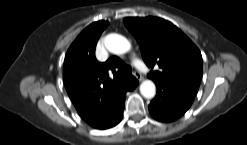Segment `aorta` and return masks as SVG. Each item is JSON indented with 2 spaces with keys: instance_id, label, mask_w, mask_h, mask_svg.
I'll list each match as a JSON object with an SVG mask.
<instances>
[{
  "instance_id": "obj_1",
  "label": "aorta",
  "mask_w": 247,
  "mask_h": 145,
  "mask_svg": "<svg viewBox=\"0 0 247 145\" xmlns=\"http://www.w3.org/2000/svg\"><path fill=\"white\" fill-rule=\"evenodd\" d=\"M107 50L114 54H123L130 50L129 41L118 34H109L104 40ZM140 92L143 97L151 99L156 94V86L151 80H145L140 85Z\"/></svg>"
}]
</instances>
